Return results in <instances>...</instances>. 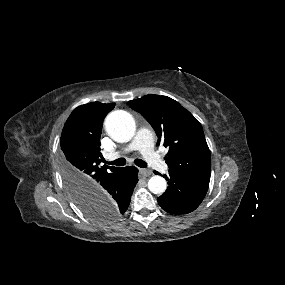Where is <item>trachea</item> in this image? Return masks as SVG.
<instances>
[{"instance_id": "obj_1", "label": "trachea", "mask_w": 285, "mask_h": 285, "mask_svg": "<svg viewBox=\"0 0 285 285\" xmlns=\"http://www.w3.org/2000/svg\"><path fill=\"white\" fill-rule=\"evenodd\" d=\"M103 162L106 163V164H109V165L124 166L126 164V159L125 158H119V159H116V160L111 161V162H108L106 160H104ZM134 163L138 167H141V168H146L147 167L146 162L141 160V159H135Z\"/></svg>"}]
</instances>
